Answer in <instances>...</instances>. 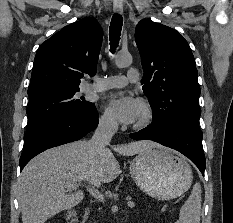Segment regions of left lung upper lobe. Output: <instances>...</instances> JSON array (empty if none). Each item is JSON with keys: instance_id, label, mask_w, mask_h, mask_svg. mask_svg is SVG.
Instances as JSON below:
<instances>
[{"instance_id": "left-lung-upper-lobe-1", "label": "left lung upper lobe", "mask_w": 233, "mask_h": 223, "mask_svg": "<svg viewBox=\"0 0 233 223\" xmlns=\"http://www.w3.org/2000/svg\"><path fill=\"white\" fill-rule=\"evenodd\" d=\"M144 75L143 91L150 101L152 124L198 125L200 86L187 41L173 28L142 19L136 26Z\"/></svg>"}]
</instances>
